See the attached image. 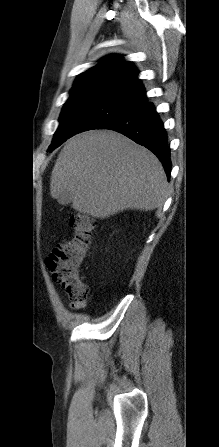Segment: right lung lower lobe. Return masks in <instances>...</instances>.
<instances>
[{
	"mask_svg": "<svg viewBox=\"0 0 219 447\" xmlns=\"http://www.w3.org/2000/svg\"><path fill=\"white\" fill-rule=\"evenodd\" d=\"M97 129L117 131L152 151L162 163L169 180L172 164L168 138L156 108L151 103L144 102L108 120Z\"/></svg>",
	"mask_w": 219,
	"mask_h": 447,
	"instance_id": "98d812e1",
	"label": "right lung lower lobe"
}]
</instances>
